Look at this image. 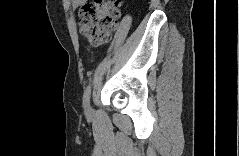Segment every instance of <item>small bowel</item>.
Returning <instances> with one entry per match:
<instances>
[{"mask_svg": "<svg viewBox=\"0 0 239 156\" xmlns=\"http://www.w3.org/2000/svg\"><path fill=\"white\" fill-rule=\"evenodd\" d=\"M82 3V0H73L71 5L73 8H77Z\"/></svg>", "mask_w": 239, "mask_h": 156, "instance_id": "c3829d8e", "label": "small bowel"}]
</instances>
